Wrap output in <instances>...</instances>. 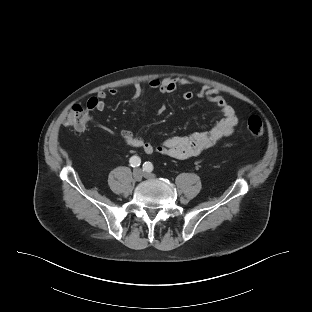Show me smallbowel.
<instances>
[{
    "instance_id": "c3829d8e",
    "label": "small bowel",
    "mask_w": 312,
    "mask_h": 312,
    "mask_svg": "<svg viewBox=\"0 0 312 312\" xmlns=\"http://www.w3.org/2000/svg\"><path fill=\"white\" fill-rule=\"evenodd\" d=\"M188 82L184 78H155L149 80L145 85L135 83L132 99L136 101L142 97L146 87L163 94H170L182 90ZM118 94V89L114 87L108 90H100L96 96L88 100L87 106L92 111H103L106 108V99L109 96L114 97ZM182 96L185 100L200 98L208 101L220 109L223 117L207 132L194 133L186 136H173L159 144L147 142L133 131L123 129L120 134L124 142L128 146L142 148L149 155L160 154L176 159H186L202 153L233 133L238 124V117L233 107L217 88L203 86L195 90L187 89L182 91ZM165 108V105H162L159 108V113H162Z\"/></svg>"
}]
</instances>
